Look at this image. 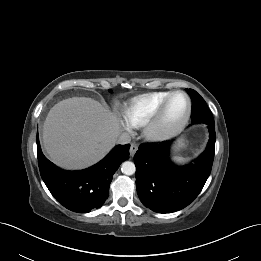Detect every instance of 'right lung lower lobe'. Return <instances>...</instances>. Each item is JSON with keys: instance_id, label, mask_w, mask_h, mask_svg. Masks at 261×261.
Instances as JSON below:
<instances>
[{"instance_id": "right-lung-lower-lobe-1", "label": "right lung lower lobe", "mask_w": 261, "mask_h": 261, "mask_svg": "<svg viewBox=\"0 0 261 261\" xmlns=\"http://www.w3.org/2000/svg\"><path fill=\"white\" fill-rule=\"evenodd\" d=\"M37 148L41 177L54 198L71 211L87 213L107 199L113 174L129 158L130 144L117 145L103 160L81 171L56 167L43 155L38 136Z\"/></svg>"}]
</instances>
